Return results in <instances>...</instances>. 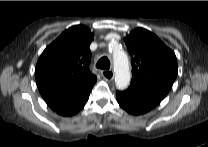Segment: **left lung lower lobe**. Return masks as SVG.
I'll use <instances>...</instances> for the list:
<instances>
[{
	"label": "left lung lower lobe",
	"instance_id": "0a47b994",
	"mask_svg": "<svg viewBox=\"0 0 208 147\" xmlns=\"http://www.w3.org/2000/svg\"><path fill=\"white\" fill-rule=\"evenodd\" d=\"M119 105L132 115L144 114L156 107L162 98L146 91L129 87L125 91H117Z\"/></svg>",
	"mask_w": 208,
	"mask_h": 147
}]
</instances>
